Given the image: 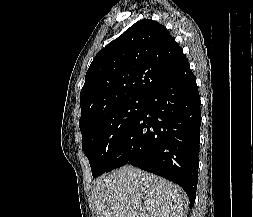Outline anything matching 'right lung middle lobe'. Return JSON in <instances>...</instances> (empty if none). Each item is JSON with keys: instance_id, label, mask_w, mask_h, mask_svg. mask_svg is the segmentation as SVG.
I'll return each mask as SVG.
<instances>
[{"instance_id": "dd1d6c3e", "label": "right lung middle lobe", "mask_w": 253, "mask_h": 217, "mask_svg": "<svg viewBox=\"0 0 253 217\" xmlns=\"http://www.w3.org/2000/svg\"><path fill=\"white\" fill-rule=\"evenodd\" d=\"M145 102L146 97L120 101L79 125L93 177L109 171L114 154L143 111Z\"/></svg>"}]
</instances>
